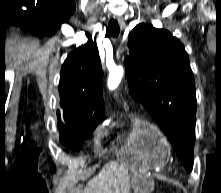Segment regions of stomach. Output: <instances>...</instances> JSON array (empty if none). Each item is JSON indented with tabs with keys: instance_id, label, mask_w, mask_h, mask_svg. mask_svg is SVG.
I'll return each instance as SVG.
<instances>
[{
	"instance_id": "0dacf381",
	"label": "stomach",
	"mask_w": 221,
	"mask_h": 193,
	"mask_svg": "<svg viewBox=\"0 0 221 193\" xmlns=\"http://www.w3.org/2000/svg\"><path fill=\"white\" fill-rule=\"evenodd\" d=\"M137 118H130L134 129L129 137L133 142H128L125 154H121L118 163L122 167H131V177L134 180L127 193H149L152 190L147 184L150 182V172H153V167H165L166 159H169L168 142L160 137L155 125H149V122Z\"/></svg>"
}]
</instances>
